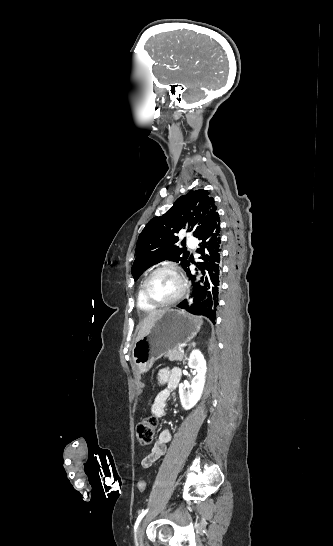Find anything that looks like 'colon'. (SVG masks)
<instances>
[{
    "instance_id": "5ec220e1",
    "label": "colon",
    "mask_w": 333,
    "mask_h": 546,
    "mask_svg": "<svg viewBox=\"0 0 333 546\" xmlns=\"http://www.w3.org/2000/svg\"><path fill=\"white\" fill-rule=\"evenodd\" d=\"M157 428V419L154 416H148L142 419L137 425V440L141 448L150 446L153 442ZM139 492L143 493L146 490V482L141 480L137 484Z\"/></svg>"
}]
</instances>
